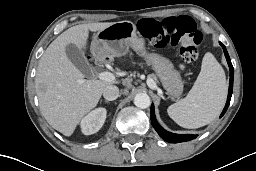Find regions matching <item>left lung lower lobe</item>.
I'll return each mask as SVG.
<instances>
[{
	"label": "left lung lower lobe",
	"instance_id": "left-lung-lower-lobe-1",
	"mask_svg": "<svg viewBox=\"0 0 256 171\" xmlns=\"http://www.w3.org/2000/svg\"><path fill=\"white\" fill-rule=\"evenodd\" d=\"M220 45L222 46L223 50H224V54L225 57L227 59L229 68H230V81H229V92H228V98H227V102L226 105L224 107L223 112L221 113L220 117H222L229 104H230V100H231V96H232V91H233V76H234V70H233V66L230 60V57L228 55V52L226 50V47L220 42ZM150 117H151V123L154 127V129L157 131V133L160 135V137L162 139H164L167 142H171V143H179V142H185V141H189L192 139H195L197 137V135H193V134H175V133H171L166 131L165 129H163L157 122L156 118H155V113H154V105H151V110H150Z\"/></svg>",
	"mask_w": 256,
	"mask_h": 171
}]
</instances>
